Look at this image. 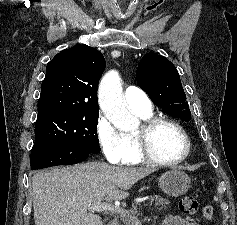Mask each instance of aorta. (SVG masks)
Wrapping results in <instances>:
<instances>
[{"instance_id":"aorta-1","label":"aorta","mask_w":237,"mask_h":225,"mask_svg":"<svg viewBox=\"0 0 237 225\" xmlns=\"http://www.w3.org/2000/svg\"><path fill=\"white\" fill-rule=\"evenodd\" d=\"M98 100L106 118L120 131L137 128L139 121L127 110L122 98L121 79L117 71L111 70L101 79Z\"/></svg>"}]
</instances>
